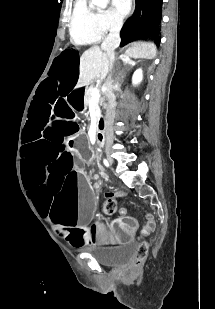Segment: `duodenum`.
I'll list each match as a JSON object with an SVG mask.
<instances>
[{
  "label": "duodenum",
  "mask_w": 215,
  "mask_h": 309,
  "mask_svg": "<svg viewBox=\"0 0 215 309\" xmlns=\"http://www.w3.org/2000/svg\"><path fill=\"white\" fill-rule=\"evenodd\" d=\"M97 124L98 127L96 130V144L98 147L104 148L106 146L105 131H104L105 120L103 118H98Z\"/></svg>",
  "instance_id": "obj_1"
}]
</instances>
